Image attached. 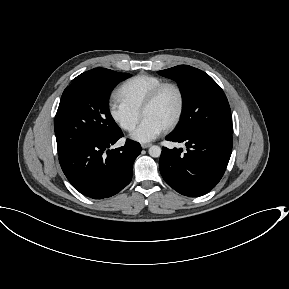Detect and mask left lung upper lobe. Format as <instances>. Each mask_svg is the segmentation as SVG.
<instances>
[{
	"instance_id": "obj_1",
	"label": "left lung upper lobe",
	"mask_w": 289,
	"mask_h": 289,
	"mask_svg": "<svg viewBox=\"0 0 289 289\" xmlns=\"http://www.w3.org/2000/svg\"><path fill=\"white\" fill-rule=\"evenodd\" d=\"M178 83L184 114L177 134L193 131L232 135L231 110L221 87L205 72L189 65L158 71Z\"/></svg>"
}]
</instances>
